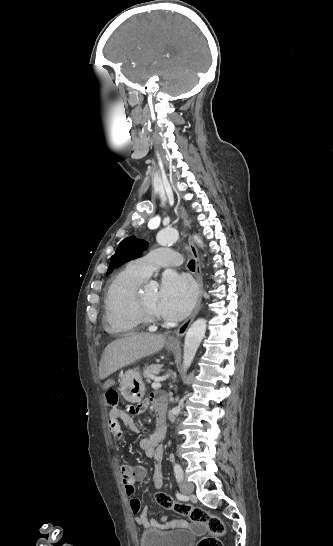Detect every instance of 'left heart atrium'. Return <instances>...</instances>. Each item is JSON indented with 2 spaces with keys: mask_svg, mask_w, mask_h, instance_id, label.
I'll return each mask as SVG.
<instances>
[{
  "mask_svg": "<svg viewBox=\"0 0 333 546\" xmlns=\"http://www.w3.org/2000/svg\"><path fill=\"white\" fill-rule=\"evenodd\" d=\"M196 299L192 282L173 271L164 273L158 292L157 311L160 316L177 321L191 311Z\"/></svg>",
  "mask_w": 333,
  "mask_h": 546,
  "instance_id": "obj_1",
  "label": "left heart atrium"
}]
</instances>
